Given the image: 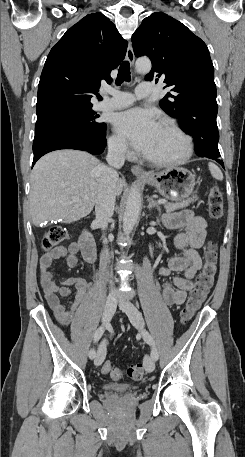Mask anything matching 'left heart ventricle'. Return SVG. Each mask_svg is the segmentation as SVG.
<instances>
[{
  "label": "left heart ventricle",
  "instance_id": "obj_1",
  "mask_svg": "<svg viewBox=\"0 0 245 457\" xmlns=\"http://www.w3.org/2000/svg\"><path fill=\"white\" fill-rule=\"evenodd\" d=\"M182 139L160 127L152 142L143 150V153L153 157L175 156L181 153Z\"/></svg>",
  "mask_w": 245,
  "mask_h": 457
}]
</instances>
